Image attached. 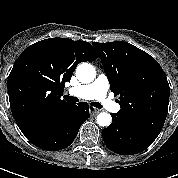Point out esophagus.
I'll use <instances>...</instances> for the list:
<instances>
[{"mask_svg":"<svg viewBox=\"0 0 178 178\" xmlns=\"http://www.w3.org/2000/svg\"><path fill=\"white\" fill-rule=\"evenodd\" d=\"M100 111H101V110L96 109V108H90V114H91L92 116L97 115Z\"/></svg>","mask_w":178,"mask_h":178,"instance_id":"esophagus-1","label":"esophagus"}]
</instances>
